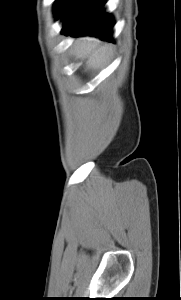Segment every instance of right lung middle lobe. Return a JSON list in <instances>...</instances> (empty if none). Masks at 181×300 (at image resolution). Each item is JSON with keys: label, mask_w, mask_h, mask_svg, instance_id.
I'll use <instances>...</instances> for the list:
<instances>
[{"label": "right lung middle lobe", "mask_w": 181, "mask_h": 300, "mask_svg": "<svg viewBox=\"0 0 181 300\" xmlns=\"http://www.w3.org/2000/svg\"><path fill=\"white\" fill-rule=\"evenodd\" d=\"M67 0H58L56 2L55 8L58 9L60 6H62Z\"/></svg>", "instance_id": "obj_1"}]
</instances>
